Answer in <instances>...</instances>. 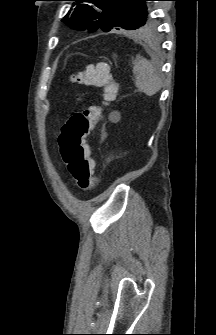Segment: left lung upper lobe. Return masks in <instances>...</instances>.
Masks as SVG:
<instances>
[{"mask_svg":"<svg viewBox=\"0 0 216 335\" xmlns=\"http://www.w3.org/2000/svg\"><path fill=\"white\" fill-rule=\"evenodd\" d=\"M71 1H75L73 5H76V8L69 17L65 16L62 22H66L73 29H88L90 32L101 29L108 32L111 29L123 28L151 32L155 27L154 19L146 5L150 0Z\"/></svg>","mask_w":216,"mask_h":335,"instance_id":"5c2ea615","label":"left lung upper lobe"}]
</instances>
